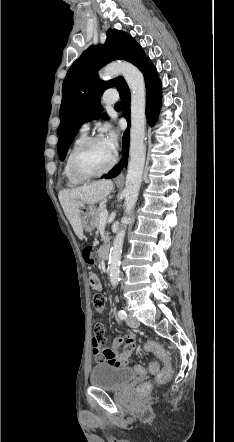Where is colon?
<instances>
[{
    "mask_svg": "<svg viewBox=\"0 0 234 442\" xmlns=\"http://www.w3.org/2000/svg\"><path fill=\"white\" fill-rule=\"evenodd\" d=\"M83 257L88 264L94 265L99 263L96 250L93 246L88 245L84 247ZM97 283H98V277L96 275H92L90 277V285L93 290L92 304L97 311L101 312L105 308V299L100 293V291L93 288L97 285ZM103 343L106 344L105 337ZM144 347L146 352H153L164 363L163 369L159 372L160 368L159 363L156 361V359H153V361H151L148 365V371L152 374H156L159 372L157 377V382L159 384H166L168 382V378L172 373L171 361L168 352L162 345L156 342H146L144 344ZM135 371L140 373H145L146 369L141 365H138V363H135ZM140 387L141 389H152L153 382L152 380H141Z\"/></svg>",
    "mask_w": 234,
    "mask_h": 442,
    "instance_id": "5ec220e1",
    "label": "colon"
}]
</instances>
